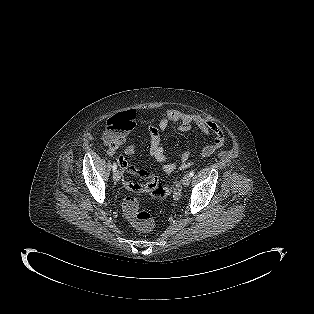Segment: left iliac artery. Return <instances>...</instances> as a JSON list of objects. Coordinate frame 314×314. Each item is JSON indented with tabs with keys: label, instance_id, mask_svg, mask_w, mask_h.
<instances>
[{
	"label": "left iliac artery",
	"instance_id": "44dca946",
	"mask_svg": "<svg viewBox=\"0 0 314 314\" xmlns=\"http://www.w3.org/2000/svg\"><path fill=\"white\" fill-rule=\"evenodd\" d=\"M194 170H192L190 173H189V175H190V177H193L194 176Z\"/></svg>",
	"mask_w": 314,
	"mask_h": 314
}]
</instances>
